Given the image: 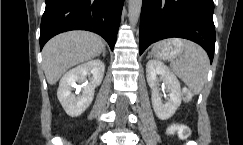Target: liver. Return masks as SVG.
<instances>
[{"label":"liver","instance_id":"liver-1","mask_svg":"<svg viewBox=\"0 0 243 145\" xmlns=\"http://www.w3.org/2000/svg\"><path fill=\"white\" fill-rule=\"evenodd\" d=\"M102 39L87 31H70L52 38L43 48V67L47 82L54 85L71 67L99 56Z\"/></svg>","mask_w":243,"mask_h":145}]
</instances>
